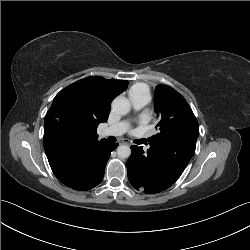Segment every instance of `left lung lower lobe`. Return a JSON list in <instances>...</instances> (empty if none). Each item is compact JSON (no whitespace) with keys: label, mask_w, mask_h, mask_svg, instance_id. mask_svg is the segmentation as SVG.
<instances>
[{"label":"left lung lower lobe","mask_w":250,"mask_h":250,"mask_svg":"<svg viewBox=\"0 0 250 250\" xmlns=\"http://www.w3.org/2000/svg\"><path fill=\"white\" fill-rule=\"evenodd\" d=\"M147 151L131 146L127 174L131 185L147 194L164 191L175 183L194 155L196 140L185 137L162 143L149 141Z\"/></svg>","instance_id":"1"}]
</instances>
